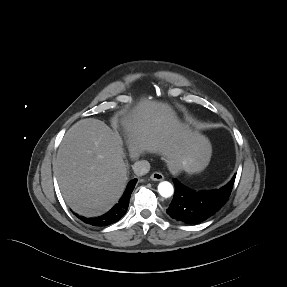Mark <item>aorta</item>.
<instances>
[{
  "instance_id": "762f6f07",
  "label": "aorta",
  "mask_w": 287,
  "mask_h": 287,
  "mask_svg": "<svg viewBox=\"0 0 287 287\" xmlns=\"http://www.w3.org/2000/svg\"><path fill=\"white\" fill-rule=\"evenodd\" d=\"M158 192L164 198H169L174 193L173 185L168 181H162L158 185Z\"/></svg>"
}]
</instances>
